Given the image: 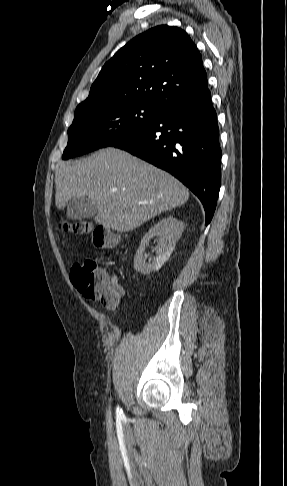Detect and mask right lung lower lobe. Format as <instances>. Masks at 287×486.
I'll return each instance as SVG.
<instances>
[{"label":"right lung lower lobe","instance_id":"98d812e1","mask_svg":"<svg viewBox=\"0 0 287 486\" xmlns=\"http://www.w3.org/2000/svg\"><path fill=\"white\" fill-rule=\"evenodd\" d=\"M114 147L179 179L200 199L210 223L221 185V149L208 86L162 105L140 134Z\"/></svg>","mask_w":287,"mask_h":486}]
</instances>
